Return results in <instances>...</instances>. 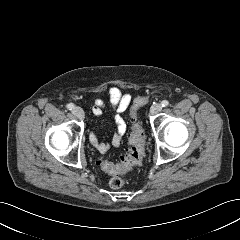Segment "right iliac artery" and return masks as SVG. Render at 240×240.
Listing matches in <instances>:
<instances>
[{
    "label": "right iliac artery",
    "mask_w": 240,
    "mask_h": 240,
    "mask_svg": "<svg viewBox=\"0 0 240 240\" xmlns=\"http://www.w3.org/2000/svg\"><path fill=\"white\" fill-rule=\"evenodd\" d=\"M66 107H67V109H69V110H73V109H74V105H73L72 103L67 104Z\"/></svg>",
    "instance_id": "obj_1"
}]
</instances>
